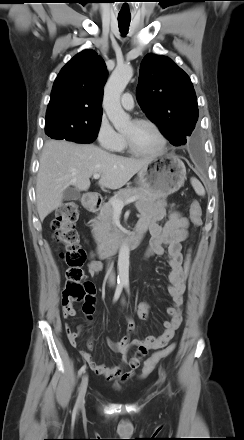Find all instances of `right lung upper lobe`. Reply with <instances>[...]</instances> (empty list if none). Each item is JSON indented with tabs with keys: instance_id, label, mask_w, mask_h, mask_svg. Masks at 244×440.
<instances>
[{
	"instance_id": "right-lung-upper-lobe-1",
	"label": "right lung upper lobe",
	"mask_w": 244,
	"mask_h": 440,
	"mask_svg": "<svg viewBox=\"0 0 244 440\" xmlns=\"http://www.w3.org/2000/svg\"><path fill=\"white\" fill-rule=\"evenodd\" d=\"M106 77L105 63L95 51L84 50L74 56L54 82L46 121L86 124L101 121Z\"/></svg>"
}]
</instances>
